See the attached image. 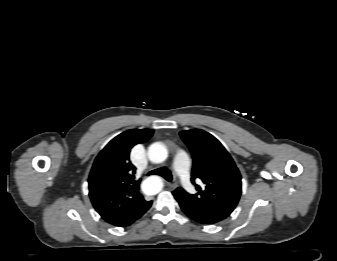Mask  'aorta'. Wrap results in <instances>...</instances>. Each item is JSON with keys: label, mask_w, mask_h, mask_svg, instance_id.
<instances>
[{"label": "aorta", "mask_w": 337, "mask_h": 261, "mask_svg": "<svg viewBox=\"0 0 337 261\" xmlns=\"http://www.w3.org/2000/svg\"><path fill=\"white\" fill-rule=\"evenodd\" d=\"M168 157L165 145L159 142L151 144L148 148V158L153 163H161ZM162 189V182L159 177L151 176L142 183V190L147 195H155Z\"/></svg>", "instance_id": "1"}]
</instances>
